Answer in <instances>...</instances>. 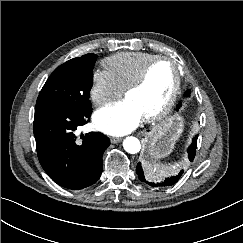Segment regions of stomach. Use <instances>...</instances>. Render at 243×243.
Segmentation results:
<instances>
[{
    "mask_svg": "<svg viewBox=\"0 0 243 243\" xmlns=\"http://www.w3.org/2000/svg\"><path fill=\"white\" fill-rule=\"evenodd\" d=\"M183 125V118L176 114L149 132L146 137L145 157L155 161L168 156L183 131Z\"/></svg>",
    "mask_w": 243,
    "mask_h": 243,
    "instance_id": "stomach-1",
    "label": "stomach"
}]
</instances>
